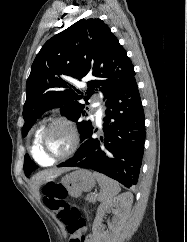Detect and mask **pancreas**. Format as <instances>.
I'll return each mask as SVG.
<instances>
[{
  "mask_svg": "<svg viewBox=\"0 0 187 242\" xmlns=\"http://www.w3.org/2000/svg\"><path fill=\"white\" fill-rule=\"evenodd\" d=\"M86 199L93 204L96 202V196L94 195H88Z\"/></svg>",
  "mask_w": 187,
  "mask_h": 242,
  "instance_id": "cf45deb5",
  "label": "pancreas"
}]
</instances>
